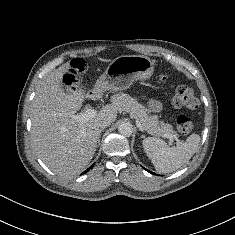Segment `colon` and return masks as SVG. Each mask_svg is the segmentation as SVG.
I'll list each match as a JSON object with an SVG mask.
<instances>
[{
    "label": "colon",
    "mask_w": 235,
    "mask_h": 235,
    "mask_svg": "<svg viewBox=\"0 0 235 235\" xmlns=\"http://www.w3.org/2000/svg\"><path fill=\"white\" fill-rule=\"evenodd\" d=\"M85 70V64L77 59L72 62V72L65 76V84L68 89H73L76 83V74ZM172 105L174 108L195 109L198 107V100L193 89L187 85H178L173 89ZM178 131L182 134H189L193 131L195 123L187 115H178L175 119Z\"/></svg>",
    "instance_id": "5ec220e1"
}]
</instances>
